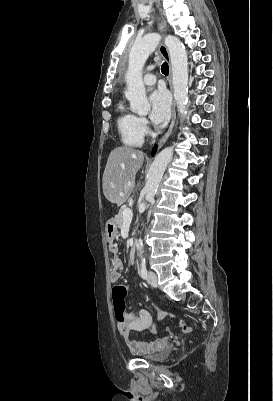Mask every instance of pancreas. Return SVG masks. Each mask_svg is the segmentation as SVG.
I'll use <instances>...</instances> for the list:
<instances>
[{"instance_id": "obj_1", "label": "pancreas", "mask_w": 273, "mask_h": 401, "mask_svg": "<svg viewBox=\"0 0 273 401\" xmlns=\"http://www.w3.org/2000/svg\"><path fill=\"white\" fill-rule=\"evenodd\" d=\"M123 211L124 209H121V211H119L118 215H116L115 217V221H116V225L118 227V229H122L123 227Z\"/></svg>"}]
</instances>
